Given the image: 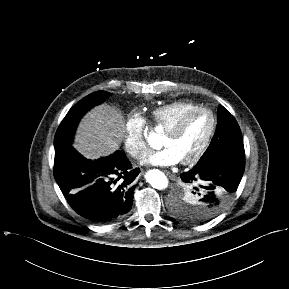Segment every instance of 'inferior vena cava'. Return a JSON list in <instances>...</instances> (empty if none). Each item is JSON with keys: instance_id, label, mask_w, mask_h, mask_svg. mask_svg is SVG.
<instances>
[{"instance_id": "inferior-vena-cava-1", "label": "inferior vena cava", "mask_w": 289, "mask_h": 289, "mask_svg": "<svg viewBox=\"0 0 289 289\" xmlns=\"http://www.w3.org/2000/svg\"><path fill=\"white\" fill-rule=\"evenodd\" d=\"M146 156V154L144 153H142V154H140V155H138V157H145Z\"/></svg>"}]
</instances>
